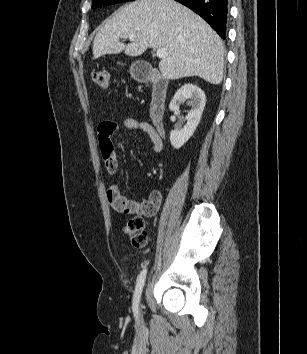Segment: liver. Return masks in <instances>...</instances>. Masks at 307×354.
I'll return each instance as SVG.
<instances>
[{"instance_id":"liver-1","label":"liver","mask_w":307,"mask_h":354,"mask_svg":"<svg viewBox=\"0 0 307 354\" xmlns=\"http://www.w3.org/2000/svg\"><path fill=\"white\" fill-rule=\"evenodd\" d=\"M134 37L125 45L121 38ZM147 48H166L159 62L171 80L198 76L212 84L223 79L224 45L196 13L174 0H136L121 8L101 27L93 41V59L106 54L136 57Z\"/></svg>"}]
</instances>
